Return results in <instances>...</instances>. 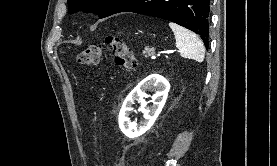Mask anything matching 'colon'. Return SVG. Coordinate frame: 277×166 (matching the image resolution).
Listing matches in <instances>:
<instances>
[{"mask_svg":"<svg viewBox=\"0 0 277 166\" xmlns=\"http://www.w3.org/2000/svg\"><path fill=\"white\" fill-rule=\"evenodd\" d=\"M106 46L111 50L116 64L133 71L137 67V58L133 49L121 38L110 35L106 38ZM103 56V46L100 44L91 45L83 49L76 58V62L81 66H91L99 63Z\"/></svg>","mask_w":277,"mask_h":166,"instance_id":"1","label":"colon"}]
</instances>
